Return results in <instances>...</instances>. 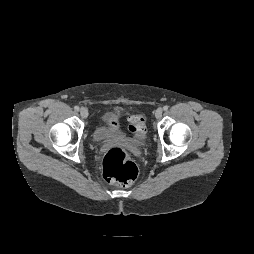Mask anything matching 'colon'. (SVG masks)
Returning <instances> with one entry per match:
<instances>
[{"mask_svg": "<svg viewBox=\"0 0 254 254\" xmlns=\"http://www.w3.org/2000/svg\"><path fill=\"white\" fill-rule=\"evenodd\" d=\"M129 130L136 136H143L146 130L144 117L132 116ZM102 167L103 176L108 182L127 186L132 184L138 176L136 165L128 152L121 147H112L105 153Z\"/></svg>", "mask_w": 254, "mask_h": 254, "instance_id": "1", "label": "colon"}]
</instances>
